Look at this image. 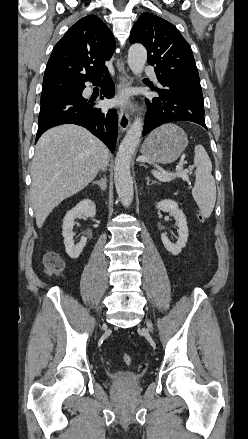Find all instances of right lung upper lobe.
I'll return each mask as SVG.
<instances>
[{"label":"right lung upper lobe","instance_id":"1","mask_svg":"<svg viewBox=\"0 0 248 439\" xmlns=\"http://www.w3.org/2000/svg\"><path fill=\"white\" fill-rule=\"evenodd\" d=\"M115 48L109 28L94 15L77 21L55 45L48 60L41 97L66 94L98 78Z\"/></svg>","mask_w":248,"mask_h":439}]
</instances>
